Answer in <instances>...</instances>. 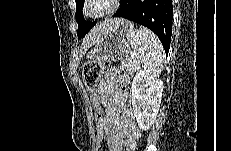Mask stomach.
<instances>
[{
	"mask_svg": "<svg viewBox=\"0 0 231 151\" xmlns=\"http://www.w3.org/2000/svg\"><path fill=\"white\" fill-rule=\"evenodd\" d=\"M133 30V24L128 21L114 24L104 32L94 49L87 54V61L101 63L128 57L131 48L130 35Z\"/></svg>",
	"mask_w": 231,
	"mask_h": 151,
	"instance_id": "1",
	"label": "stomach"
}]
</instances>
